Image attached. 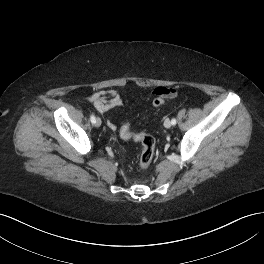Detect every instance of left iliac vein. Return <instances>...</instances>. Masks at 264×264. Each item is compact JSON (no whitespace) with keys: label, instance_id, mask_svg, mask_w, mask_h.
<instances>
[{"label":"left iliac vein","instance_id":"left-iliac-vein-1","mask_svg":"<svg viewBox=\"0 0 264 264\" xmlns=\"http://www.w3.org/2000/svg\"><path fill=\"white\" fill-rule=\"evenodd\" d=\"M164 126H165L166 128H170V127L172 126L171 121H170L169 119H166V120L164 121Z\"/></svg>","mask_w":264,"mask_h":264}]
</instances>
